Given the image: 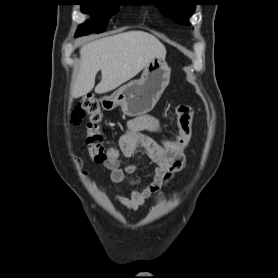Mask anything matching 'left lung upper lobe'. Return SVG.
<instances>
[{"mask_svg":"<svg viewBox=\"0 0 278 278\" xmlns=\"http://www.w3.org/2000/svg\"><path fill=\"white\" fill-rule=\"evenodd\" d=\"M155 5L160 6L164 15L171 17L180 24H189L188 18L195 10V3L192 0H156Z\"/></svg>","mask_w":278,"mask_h":278,"instance_id":"left-lung-upper-lobe-1","label":"left lung upper lobe"}]
</instances>
